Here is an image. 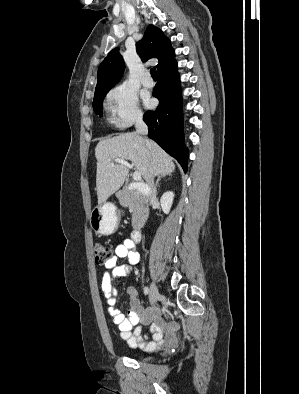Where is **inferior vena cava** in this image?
Returning <instances> with one entry per match:
<instances>
[{
  "mask_svg": "<svg viewBox=\"0 0 299 394\" xmlns=\"http://www.w3.org/2000/svg\"><path fill=\"white\" fill-rule=\"evenodd\" d=\"M136 133L140 135H146L148 133V127L144 123L143 118L141 115L137 116L136 123H135ZM150 191H149V201L150 203L156 199V187L154 185L153 177H150L148 181Z\"/></svg>",
  "mask_w": 299,
  "mask_h": 394,
  "instance_id": "602c4592",
  "label": "inferior vena cava"
}]
</instances>
